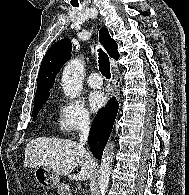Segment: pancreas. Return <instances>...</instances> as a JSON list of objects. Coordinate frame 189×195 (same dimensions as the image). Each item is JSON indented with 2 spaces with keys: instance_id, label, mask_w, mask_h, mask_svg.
Returning <instances> with one entry per match:
<instances>
[{
  "instance_id": "obj_1",
  "label": "pancreas",
  "mask_w": 189,
  "mask_h": 195,
  "mask_svg": "<svg viewBox=\"0 0 189 195\" xmlns=\"http://www.w3.org/2000/svg\"><path fill=\"white\" fill-rule=\"evenodd\" d=\"M70 192L69 186L62 183L57 186V195H68Z\"/></svg>"
}]
</instances>
